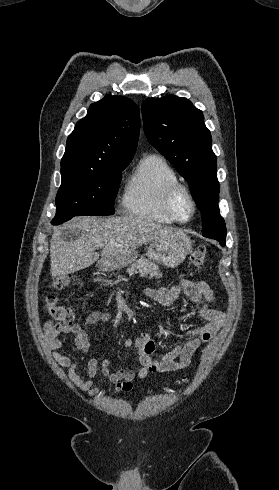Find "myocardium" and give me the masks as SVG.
Wrapping results in <instances>:
<instances>
[{"mask_svg":"<svg viewBox=\"0 0 279 490\" xmlns=\"http://www.w3.org/2000/svg\"><path fill=\"white\" fill-rule=\"evenodd\" d=\"M183 195L186 196L191 207L189 214L185 218L180 216L179 210V202ZM166 207L169 213L173 215L178 222L185 223L191 220L196 212V202L191 187L187 183L181 181L173 184L166 196Z\"/></svg>","mask_w":279,"mask_h":490,"instance_id":"obj_1","label":"myocardium"}]
</instances>
